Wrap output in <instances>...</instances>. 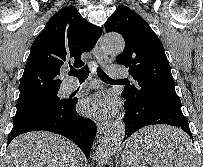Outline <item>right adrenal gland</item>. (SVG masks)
I'll return each mask as SVG.
<instances>
[{"instance_id": "2a0ac1e0", "label": "right adrenal gland", "mask_w": 203, "mask_h": 167, "mask_svg": "<svg viewBox=\"0 0 203 167\" xmlns=\"http://www.w3.org/2000/svg\"><path fill=\"white\" fill-rule=\"evenodd\" d=\"M80 167H83V163L81 162V166Z\"/></svg>"}]
</instances>
